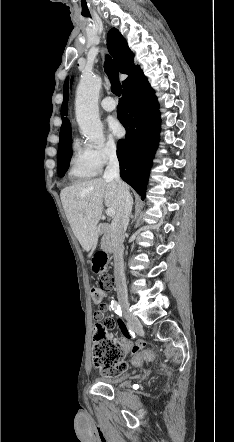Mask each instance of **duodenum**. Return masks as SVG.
<instances>
[{
  "label": "duodenum",
  "instance_id": "obj_1",
  "mask_svg": "<svg viewBox=\"0 0 234 442\" xmlns=\"http://www.w3.org/2000/svg\"><path fill=\"white\" fill-rule=\"evenodd\" d=\"M101 233L104 237V252L112 253L113 252V243L110 236V229L107 224H103L101 227Z\"/></svg>",
  "mask_w": 234,
  "mask_h": 442
}]
</instances>
